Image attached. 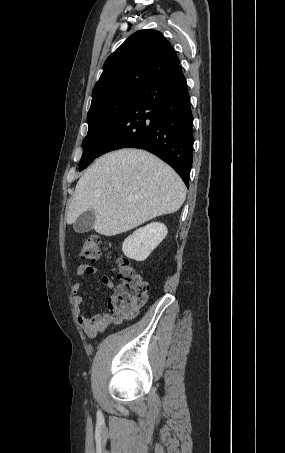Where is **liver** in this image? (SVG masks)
I'll use <instances>...</instances> for the list:
<instances>
[{
  "label": "liver",
  "instance_id": "liver-1",
  "mask_svg": "<svg viewBox=\"0 0 285 453\" xmlns=\"http://www.w3.org/2000/svg\"><path fill=\"white\" fill-rule=\"evenodd\" d=\"M185 197V185L170 166L144 150L121 149L99 157L81 176L66 221L93 209L94 230L114 236L178 211Z\"/></svg>",
  "mask_w": 285,
  "mask_h": 453
}]
</instances>
